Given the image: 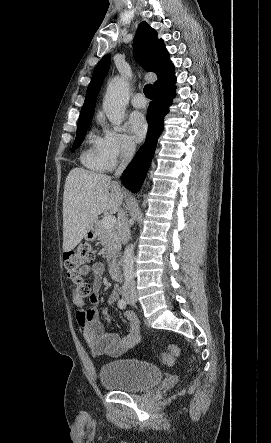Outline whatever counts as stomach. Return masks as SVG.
<instances>
[{"label": "stomach", "mask_w": 271, "mask_h": 443, "mask_svg": "<svg viewBox=\"0 0 271 443\" xmlns=\"http://www.w3.org/2000/svg\"><path fill=\"white\" fill-rule=\"evenodd\" d=\"M97 235H98V229L96 222H94L93 225H91L90 231H87V233H85V239H87V241H94Z\"/></svg>", "instance_id": "obj_1"}]
</instances>
